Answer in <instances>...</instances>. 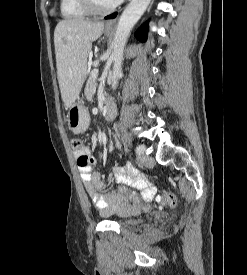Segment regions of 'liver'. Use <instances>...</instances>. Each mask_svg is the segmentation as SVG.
<instances>
[{
    "label": "liver",
    "mask_w": 247,
    "mask_h": 275,
    "mask_svg": "<svg viewBox=\"0 0 247 275\" xmlns=\"http://www.w3.org/2000/svg\"><path fill=\"white\" fill-rule=\"evenodd\" d=\"M104 22L72 18L60 21L54 31L57 78L66 109L78 98L87 73L92 42L103 33Z\"/></svg>",
    "instance_id": "6515ba94"
}]
</instances>
